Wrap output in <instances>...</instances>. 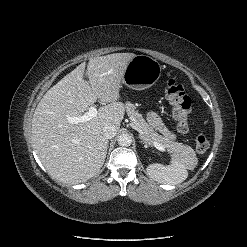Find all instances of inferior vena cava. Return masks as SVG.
Instances as JSON below:
<instances>
[{
	"label": "inferior vena cava",
	"mask_w": 247,
	"mask_h": 247,
	"mask_svg": "<svg viewBox=\"0 0 247 247\" xmlns=\"http://www.w3.org/2000/svg\"><path fill=\"white\" fill-rule=\"evenodd\" d=\"M116 131V127L112 124H107L103 129L104 136L107 139H112L113 137H115Z\"/></svg>",
	"instance_id": "inferior-vena-cava-1"
}]
</instances>
